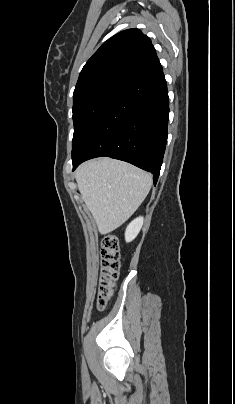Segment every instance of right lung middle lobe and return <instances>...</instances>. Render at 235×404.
I'll return each instance as SVG.
<instances>
[{
  "label": "right lung middle lobe",
  "instance_id": "1",
  "mask_svg": "<svg viewBox=\"0 0 235 404\" xmlns=\"http://www.w3.org/2000/svg\"><path fill=\"white\" fill-rule=\"evenodd\" d=\"M127 85L126 82H104L88 86L73 95L72 153L100 118L119 100Z\"/></svg>",
  "mask_w": 235,
  "mask_h": 404
}]
</instances>
